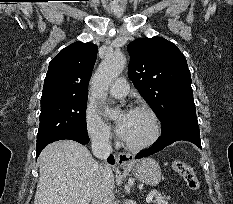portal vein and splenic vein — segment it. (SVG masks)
<instances>
[{"label":"portal vein and splenic vein","mask_w":233,"mask_h":204,"mask_svg":"<svg viewBox=\"0 0 233 204\" xmlns=\"http://www.w3.org/2000/svg\"><path fill=\"white\" fill-rule=\"evenodd\" d=\"M153 197H154V194H153V193H150V194L147 196V198H146V202H147V203H150V202L152 201Z\"/></svg>","instance_id":"portal-vein-and-splenic-vein-1"}]
</instances>
